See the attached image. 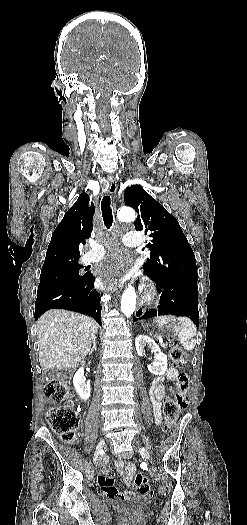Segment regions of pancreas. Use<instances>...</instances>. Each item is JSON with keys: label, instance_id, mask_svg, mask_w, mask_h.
Returning a JSON list of instances; mask_svg holds the SVG:
<instances>
[{"label": "pancreas", "instance_id": "cf45deb5", "mask_svg": "<svg viewBox=\"0 0 247 525\" xmlns=\"http://www.w3.org/2000/svg\"><path fill=\"white\" fill-rule=\"evenodd\" d=\"M163 349H166L167 345H162Z\"/></svg>", "mask_w": 247, "mask_h": 525}]
</instances>
